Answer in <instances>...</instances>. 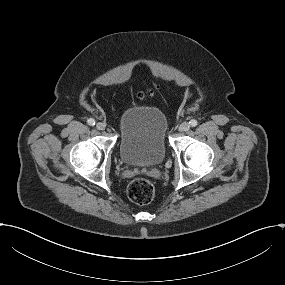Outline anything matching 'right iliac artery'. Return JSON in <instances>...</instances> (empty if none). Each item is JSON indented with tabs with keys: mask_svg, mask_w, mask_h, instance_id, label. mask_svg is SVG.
Wrapping results in <instances>:
<instances>
[{
	"mask_svg": "<svg viewBox=\"0 0 285 285\" xmlns=\"http://www.w3.org/2000/svg\"><path fill=\"white\" fill-rule=\"evenodd\" d=\"M87 123H88L89 125L93 126V125H95V120L92 119V118H90V119L87 120Z\"/></svg>",
	"mask_w": 285,
	"mask_h": 285,
	"instance_id": "right-iliac-artery-1",
	"label": "right iliac artery"
}]
</instances>
